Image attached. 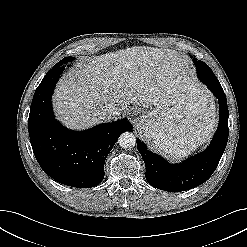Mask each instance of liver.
Returning <instances> with one entry per match:
<instances>
[{
	"instance_id": "1",
	"label": "liver",
	"mask_w": 247,
	"mask_h": 247,
	"mask_svg": "<svg viewBox=\"0 0 247 247\" xmlns=\"http://www.w3.org/2000/svg\"><path fill=\"white\" fill-rule=\"evenodd\" d=\"M184 73L179 56L169 49L136 46L106 53L72 68L58 83L53 105L66 126L86 129L105 121L101 112L107 104L119 114L130 104L155 106Z\"/></svg>"
}]
</instances>
